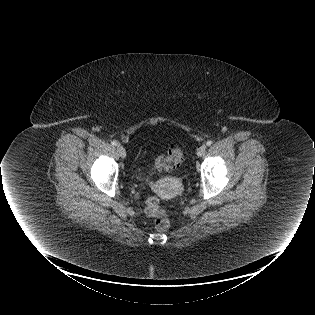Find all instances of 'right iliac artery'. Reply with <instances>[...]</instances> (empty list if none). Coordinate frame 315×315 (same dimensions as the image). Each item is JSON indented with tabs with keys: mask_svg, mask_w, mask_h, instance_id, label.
<instances>
[{
	"mask_svg": "<svg viewBox=\"0 0 315 315\" xmlns=\"http://www.w3.org/2000/svg\"><path fill=\"white\" fill-rule=\"evenodd\" d=\"M111 144H112L113 146H118V145H119V143H118L117 141H112Z\"/></svg>",
	"mask_w": 315,
	"mask_h": 315,
	"instance_id": "right-iliac-artery-1",
	"label": "right iliac artery"
}]
</instances>
